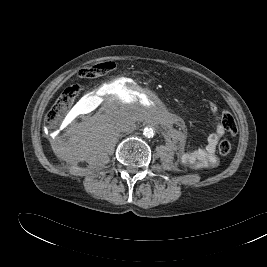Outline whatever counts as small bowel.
<instances>
[{"mask_svg":"<svg viewBox=\"0 0 267 267\" xmlns=\"http://www.w3.org/2000/svg\"><path fill=\"white\" fill-rule=\"evenodd\" d=\"M208 108L216 121V128L207 139V144L203 148H189L179 150L181 162L195 169L214 167L218 163L216 147L218 142L228 132L222 123V114L214 103H209ZM172 135H177L178 131L172 130Z\"/></svg>","mask_w":267,"mask_h":267,"instance_id":"obj_1","label":"small bowel"}]
</instances>
